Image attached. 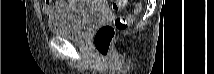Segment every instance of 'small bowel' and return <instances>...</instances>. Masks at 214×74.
<instances>
[{"mask_svg": "<svg viewBox=\"0 0 214 74\" xmlns=\"http://www.w3.org/2000/svg\"><path fill=\"white\" fill-rule=\"evenodd\" d=\"M100 3H102V1H100ZM70 4L71 2L68 1H58L55 3V6H52L48 1H46L41 4V9L44 14L52 15L57 9L69 6Z\"/></svg>", "mask_w": 214, "mask_h": 74, "instance_id": "obj_1", "label": "small bowel"}]
</instances>
